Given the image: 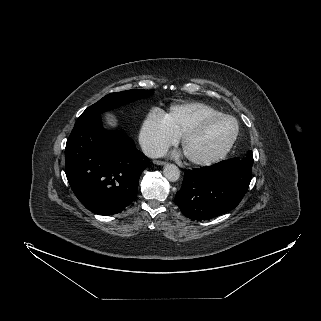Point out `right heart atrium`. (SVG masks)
Here are the masks:
<instances>
[{
    "mask_svg": "<svg viewBox=\"0 0 321 321\" xmlns=\"http://www.w3.org/2000/svg\"><path fill=\"white\" fill-rule=\"evenodd\" d=\"M139 141L147 155L157 156L175 144L177 138L167 129L161 111L153 110L141 125Z\"/></svg>",
    "mask_w": 321,
    "mask_h": 321,
    "instance_id": "obj_1",
    "label": "right heart atrium"
}]
</instances>
